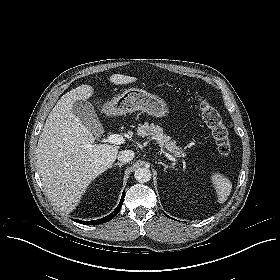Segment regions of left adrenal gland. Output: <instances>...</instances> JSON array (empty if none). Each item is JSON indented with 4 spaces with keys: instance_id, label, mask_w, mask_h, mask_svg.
Returning <instances> with one entry per match:
<instances>
[{
    "instance_id": "a2214340",
    "label": "left adrenal gland",
    "mask_w": 280,
    "mask_h": 280,
    "mask_svg": "<svg viewBox=\"0 0 280 280\" xmlns=\"http://www.w3.org/2000/svg\"><path fill=\"white\" fill-rule=\"evenodd\" d=\"M157 163H158V164H161V165L164 167V170H166L167 168H174L173 165H167V164H165V163H163V162H161V161H158Z\"/></svg>"
}]
</instances>
